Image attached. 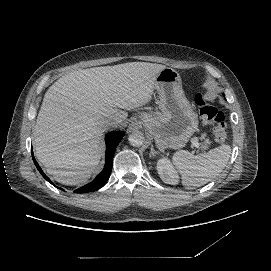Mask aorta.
<instances>
[{"label":"aorta","instance_id":"1","mask_svg":"<svg viewBox=\"0 0 271 271\" xmlns=\"http://www.w3.org/2000/svg\"><path fill=\"white\" fill-rule=\"evenodd\" d=\"M129 143L133 147H140L144 145L145 142V136L140 131H134L129 135Z\"/></svg>","mask_w":271,"mask_h":271}]
</instances>
